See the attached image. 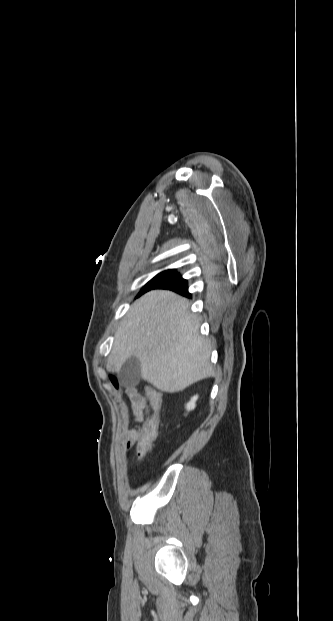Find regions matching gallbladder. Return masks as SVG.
I'll list each match as a JSON object with an SVG mask.
<instances>
[{"label": "gallbladder", "instance_id": "1", "mask_svg": "<svg viewBox=\"0 0 333 621\" xmlns=\"http://www.w3.org/2000/svg\"><path fill=\"white\" fill-rule=\"evenodd\" d=\"M117 378L126 387L136 386L141 379L139 360L134 356L128 358L117 372Z\"/></svg>", "mask_w": 333, "mask_h": 621}]
</instances>
